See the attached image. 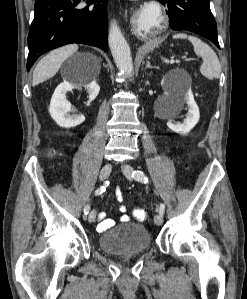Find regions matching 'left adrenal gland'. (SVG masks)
<instances>
[{
  "label": "left adrenal gland",
  "instance_id": "left-adrenal-gland-1",
  "mask_svg": "<svg viewBox=\"0 0 247 299\" xmlns=\"http://www.w3.org/2000/svg\"><path fill=\"white\" fill-rule=\"evenodd\" d=\"M146 68H155V69H159V67L151 66L150 61H147V63H146Z\"/></svg>",
  "mask_w": 247,
  "mask_h": 299
}]
</instances>
